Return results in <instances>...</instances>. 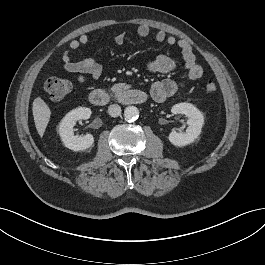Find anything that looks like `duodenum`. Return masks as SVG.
I'll use <instances>...</instances> for the list:
<instances>
[{
    "label": "duodenum",
    "instance_id": "obj_1",
    "mask_svg": "<svg viewBox=\"0 0 265 265\" xmlns=\"http://www.w3.org/2000/svg\"><path fill=\"white\" fill-rule=\"evenodd\" d=\"M112 99L128 105H140L147 101V94L136 88H128L116 95L101 89H96L90 92L89 101L95 106H105L109 104Z\"/></svg>",
    "mask_w": 265,
    "mask_h": 265
}]
</instances>
